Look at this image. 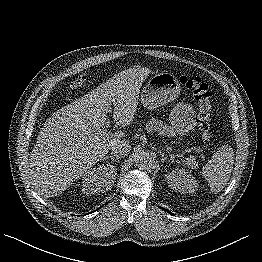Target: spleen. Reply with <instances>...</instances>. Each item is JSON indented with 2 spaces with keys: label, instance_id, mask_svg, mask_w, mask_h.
<instances>
[{
  "label": "spleen",
  "instance_id": "3e777b00",
  "mask_svg": "<svg viewBox=\"0 0 262 262\" xmlns=\"http://www.w3.org/2000/svg\"><path fill=\"white\" fill-rule=\"evenodd\" d=\"M233 163V148L224 145L214 154L212 160L202 168V175L212 191H220L224 188L230 179Z\"/></svg>",
  "mask_w": 262,
  "mask_h": 262
}]
</instances>
